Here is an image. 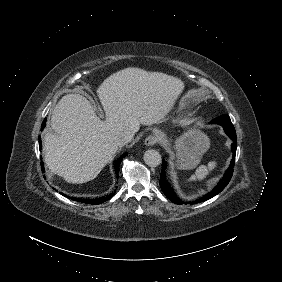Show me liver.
I'll use <instances>...</instances> for the list:
<instances>
[{
    "instance_id": "1",
    "label": "liver",
    "mask_w": 282,
    "mask_h": 282,
    "mask_svg": "<svg viewBox=\"0 0 282 282\" xmlns=\"http://www.w3.org/2000/svg\"><path fill=\"white\" fill-rule=\"evenodd\" d=\"M186 89L184 80L162 71L126 67L111 73L96 88L104 111L97 117L80 94L63 96L44 135L43 160L67 183L93 180L118 153L114 136L122 129L163 122Z\"/></svg>"
}]
</instances>
